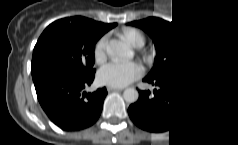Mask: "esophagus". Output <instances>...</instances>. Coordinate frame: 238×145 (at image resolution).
<instances>
[{
    "instance_id": "34e87169",
    "label": "esophagus",
    "mask_w": 238,
    "mask_h": 145,
    "mask_svg": "<svg viewBox=\"0 0 238 145\" xmlns=\"http://www.w3.org/2000/svg\"><path fill=\"white\" fill-rule=\"evenodd\" d=\"M124 88H117V87H108V91H122Z\"/></svg>"
}]
</instances>
